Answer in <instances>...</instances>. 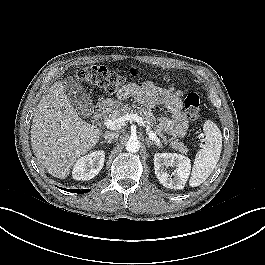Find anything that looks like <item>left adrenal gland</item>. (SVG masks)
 <instances>
[{
    "mask_svg": "<svg viewBox=\"0 0 265 265\" xmlns=\"http://www.w3.org/2000/svg\"><path fill=\"white\" fill-rule=\"evenodd\" d=\"M146 142H147L148 148H149L150 146H152V145H156V146L160 147L159 144H157V143L151 141L150 139H146Z\"/></svg>",
    "mask_w": 265,
    "mask_h": 265,
    "instance_id": "1",
    "label": "left adrenal gland"
}]
</instances>
